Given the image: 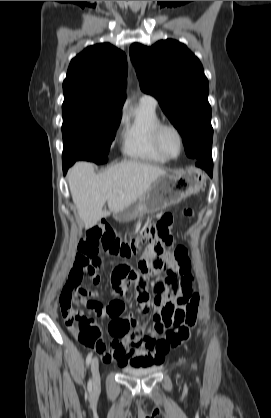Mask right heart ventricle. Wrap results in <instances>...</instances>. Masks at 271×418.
Listing matches in <instances>:
<instances>
[{"label":"right heart ventricle","instance_id":"1","mask_svg":"<svg viewBox=\"0 0 271 418\" xmlns=\"http://www.w3.org/2000/svg\"><path fill=\"white\" fill-rule=\"evenodd\" d=\"M161 123L156 107L140 102L125 117L122 132V151L129 158L163 164L167 162L155 148L153 131Z\"/></svg>","mask_w":271,"mask_h":418}]
</instances>
